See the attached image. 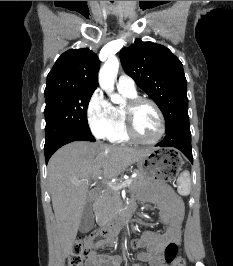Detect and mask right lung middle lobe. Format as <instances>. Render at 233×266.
Masks as SVG:
<instances>
[{
	"mask_svg": "<svg viewBox=\"0 0 233 266\" xmlns=\"http://www.w3.org/2000/svg\"><path fill=\"white\" fill-rule=\"evenodd\" d=\"M93 92H72L45 98V145L71 133H91L87 107Z\"/></svg>",
	"mask_w": 233,
	"mask_h": 266,
	"instance_id": "1",
	"label": "right lung middle lobe"
}]
</instances>
